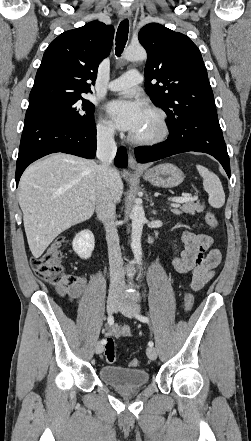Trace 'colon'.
Here are the masks:
<instances>
[{"label": "colon", "instance_id": "obj_1", "mask_svg": "<svg viewBox=\"0 0 251 441\" xmlns=\"http://www.w3.org/2000/svg\"><path fill=\"white\" fill-rule=\"evenodd\" d=\"M205 220L212 228L218 226L217 218L211 211L206 212ZM63 244L64 238L56 239L40 256L31 260V266L39 278L49 282L59 291L65 292L77 285L80 279L75 274L68 272L62 263ZM193 305L194 296L191 292H187L184 297V310L189 312ZM105 359L109 364H113L116 361L115 342L112 337L107 339ZM128 365L133 368L137 367L139 361L135 358L130 359Z\"/></svg>", "mask_w": 251, "mask_h": 441}]
</instances>
